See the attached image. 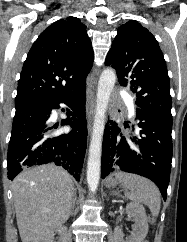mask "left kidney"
<instances>
[{"mask_svg": "<svg viewBox=\"0 0 187 242\" xmlns=\"http://www.w3.org/2000/svg\"><path fill=\"white\" fill-rule=\"evenodd\" d=\"M128 216L133 217L135 224L133 225L131 236L124 240L120 227L114 230V238L116 242H142L148 233V221L144 207L139 203H129L126 206Z\"/></svg>", "mask_w": 187, "mask_h": 242, "instance_id": "left-kidney-1", "label": "left kidney"}]
</instances>
